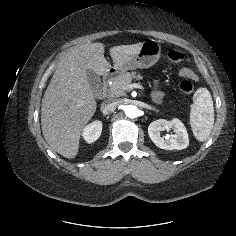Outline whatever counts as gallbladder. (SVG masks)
Wrapping results in <instances>:
<instances>
[{
    "instance_id": "bac80fb5",
    "label": "gallbladder",
    "mask_w": 236,
    "mask_h": 236,
    "mask_svg": "<svg viewBox=\"0 0 236 236\" xmlns=\"http://www.w3.org/2000/svg\"><path fill=\"white\" fill-rule=\"evenodd\" d=\"M87 78H88V82L91 86V90L94 93H98L100 91L101 85H102L99 75H97L94 71L87 70Z\"/></svg>"
}]
</instances>
